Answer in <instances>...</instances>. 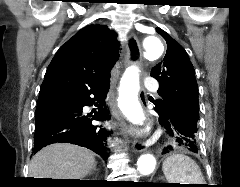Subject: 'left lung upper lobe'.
I'll return each instance as SVG.
<instances>
[{
  "label": "left lung upper lobe",
  "instance_id": "obj_1",
  "mask_svg": "<svg viewBox=\"0 0 240 187\" xmlns=\"http://www.w3.org/2000/svg\"><path fill=\"white\" fill-rule=\"evenodd\" d=\"M156 31L166 40L167 51L163 61L151 71V76L159 81L158 94L161 96L155 106H173L192 114L198 120V85L193 65L176 40L159 27Z\"/></svg>",
  "mask_w": 240,
  "mask_h": 187
}]
</instances>
